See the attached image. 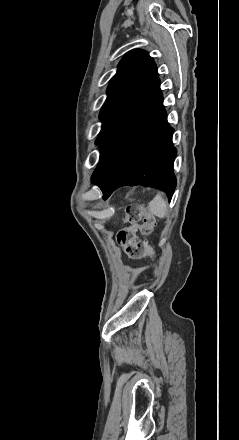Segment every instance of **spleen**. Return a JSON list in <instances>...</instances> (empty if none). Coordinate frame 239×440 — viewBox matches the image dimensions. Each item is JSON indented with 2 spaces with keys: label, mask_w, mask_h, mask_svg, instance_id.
I'll return each mask as SVG.
<instances>
[{
  "label": "spleen",
  "mask_w": 239,
  "mask_h": 440,
  "mask_svg": "<svg viewBox=\"0 0 239 440\" xmlns=\"http://www.w3.org/2000/svg\"><path fill=\"white\" fill-rule=\"evenodd\" d=\"M149 206L154 216H158V218H165L167 206L165 200L162 198V192H159V194L155 196L154 200L150 202Z\"/></svg>",
  "instance_id": "obj_1"
}]
</instances>
